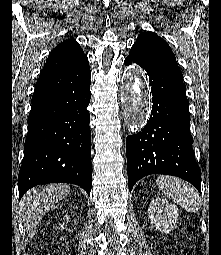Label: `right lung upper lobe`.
Returning <instances> with one entry per match:
<instances>
[{"mask_svg": "<svg viewBox=\"0 0 221 255\" xmlns=\"http://www.w3.org/2000/svg\"><path fill=\"white\" fill-rule=\"evenodd\" d=\"M84 57H86V55L74 39L65 40L53 49L39 78L58 73L72 66Z\"/></svg>", "mask_w": 221, "mask_h": 255, "instance_id": "1", "label": "right lung upper lobe"}]
</instances>
